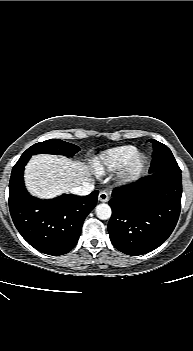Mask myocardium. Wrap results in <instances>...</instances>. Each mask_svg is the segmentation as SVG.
I'll list each match as a JSON object with an SVG mask.
<instances>
[{
  "label": "myocardium",
  "instance_id": "f54148a6",
  "mask_svg": "<svg viewBox=\"0 0 193 351\" xmlns=\"http://www.w3.org/2000/svg\"><path fill=\"white\" fill-rule=\"evenodd\" d=\"M133 163H137L139 161V158L138 157H135L131 160Z\"/></svg>",
  "mask_w": 193,
  "mask_h": 351
}]
</instances>
